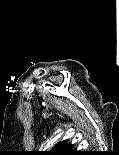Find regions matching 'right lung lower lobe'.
<instances>
[{"label": "right lung lower lobe", "mask_w": 119, "mask_h": 155, "mask_svg": "<svg viewBox=\"0 0 119 155\" xmlns=\"http://www.w3.org/2000/svg\"><path fill=\"white\" fill-rule=\"evenodd\" d=\"M66 155H84L82 151L70 149Z\"/></svg>", "instance_id": "obj_1"}]
</instances>
